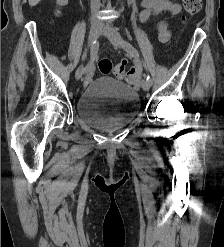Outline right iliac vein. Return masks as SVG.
Listing matches in <instances>:
<instances>
[{
    "instance_id": "63e3f726",
    "label": "right iliac vein",
    "mask_w": 224,
    "mask_h": 247,
    "mask_svg": "<svg viewBox=\"0 0 224 247\" xmlns=\"http://www.w3.org/2000/svg\"><path fill=\"white\" fill-rule=\"evenodd\" d=\"M101 30H102V27L99 24H93L91 26L90 32H89V39H88L89 46H92L93 42L100 35ZM84 69H85L84 65H80L79 68L76 70V73H75L76 80H79L82 77V75L84 74Z\"/></svg>"
}]
</instances>
